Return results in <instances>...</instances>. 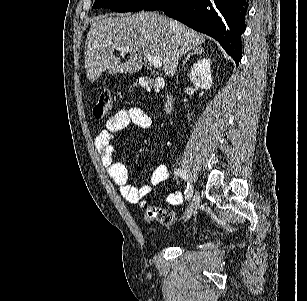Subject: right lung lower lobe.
<instances>
[{
	"mask_svg": "<svg viewBox=\"0 0 307 301\" xmlns=\"http://www.w3.org/2000/svg\"><path fill=\"white\" fill-rule=\"evenodd\" d=\"M145 10H162L192 29L216 39L236 61L241 60L246 0H157Z\"/></svg>",
	"mask_w": 307,
	"mask_h": 301,
	"instance_id": "right-lung-lower-lobe-1",
	"label": "right lung lower lobe"
}]
</instances>
